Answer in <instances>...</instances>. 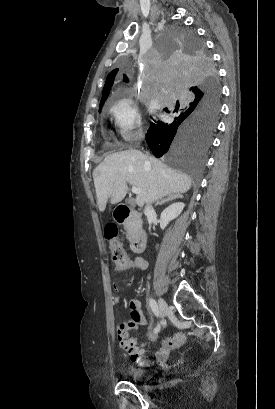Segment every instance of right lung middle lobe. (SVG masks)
Listing matches in <instances>:
<instances>
[{"label":"right lung middle lobe","instance_id":"dd1d6c3e","mask_svg":"<svg viewBox=\"0 0 275 409\" xmlns=\"http://www.w3.org/2000/svg\"><path fill=\"white\" fill-rule=\"evenodd\" d=\"M189 24H173L154 37L158 51H171L167 70H159L158 82H149V91H192L188 96H147V105H158L163 122L151 123L146 141L153 155L167 167L179 168L195 182L212 144L220 110V84L204 43ZM130 63L128 58L123 60ZM118 70L125 72L127 67ZM101 110H99L100 112ZM200 177V178H198ZM193 188L198 184L193 183Z\"/></svg>","mask_w":275,"mask_h":409}]
</instances>
